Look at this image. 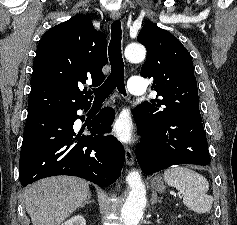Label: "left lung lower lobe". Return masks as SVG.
Instances as JSON below:
<instances>
[{
	"instance_id": "obj_1",
	"label": "left lung lower lobe",
	"mask_w": 237,
	"mask_h": 225,
	"mask_svg": "<svg viewBox=\"0 0 237 225\" xmlns=\"http://www.w3.org/2000/svg\"><path fill=\"white\" fill-rule=\"evenodd\" d=\"M139 134L146 136L136 148L143 173L152 174L172 165H208L211 161L199 107H193L166 123L152 127L133 111Z\"/></svg>"
}]
</instances>
